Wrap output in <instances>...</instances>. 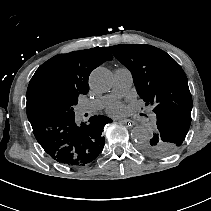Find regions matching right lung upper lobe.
<instances>
[{"label": "right lung upper lobe", "mask_w": 211, "mask_h": 211, "mask_svg": "<svg viewBox=\"0 0 211 211\" xmlns=\"http://www.w3.org/2000/svg\"><path fill=\"white\" fill-rule=\"evenodd\" d=\"M111 53L105 47L59 54L42 64L29 82L26 111L31 124L50 118L59 103L78 100L89 91L92 70L107 60Z\"/></svg>", "instance_id": "cb5924a9"}]
</instances>
